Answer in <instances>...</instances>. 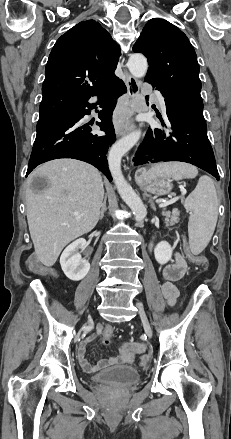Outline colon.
I'll list each match as a JSON object with an SVG mask.
<instances>
[{
    "label": "colon",
    "mask_w": 231,
    "mask_h": 439,
    "mask_svg": "<svg viewBox=\"0 0 231 439\" xmlns=\"http://www.w3.org/2000/svg\"><path fill=\"white\" fill-rule=\"evenodd\" d=\"M184 249H185V252H186L187 257H188L191 261H193L194 263H196V264H198V265H200V266H202V267H206L207 260H206L205 257H203V256H196V255H193V254L189 251L188 246H187L186 244H184ZM29 267H30L33 271H36V272H42V271H43L42 267H41V266L37 263V261L34 260V259H30V260H29ZM111 335H112L111 333H107V334L104 336V340H105V342H108V341H109ZM141 362H142V361L139 360V363H141Z\"/></svg>",
    "instance_id": "colon-1"
}]
</instances>
